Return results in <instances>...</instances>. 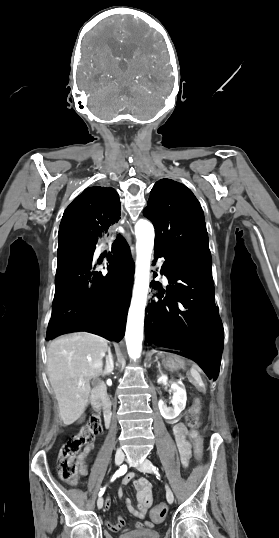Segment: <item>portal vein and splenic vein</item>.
Wrapping results in <instances>:
<instances>
[{"instance_id":"obj_1","label":"portal vein and splenic vein","mask_w":279,"mask_h":538,"mask_svg":"<svg viewBox=\"0 0 279 538\" xmlns=\"http://www.w3.org/2000/svg\"><path fill=\"white\" fill-rule=\"evenodd\" d=\"M183 379H186V376L179 377L180 383H183Z\"/></svg>"}]
</instances>
